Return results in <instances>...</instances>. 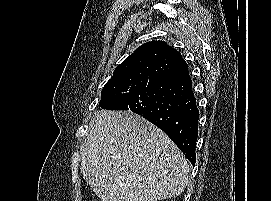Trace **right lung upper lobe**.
Returning a JSON list of instances; mask_svg holds the SVG:
<instances>
[{"mask_svg": "<svg viewBox=\"0 0 271 201\" xmlns=\"http://www.w3.org/2000/svg\"><path fill=\"white\" fill-rule=\"evenodd\" d=\"M174 49L164 41L147 42L137 48L114 71V75L134 70L151 69L152 66Z\"/></svg>", "mask_w": 271, "mask_h": 201, "instance_id": "right-lung-upper-lobe-1", "label": "right lung upper lobe"}]
</instances>
